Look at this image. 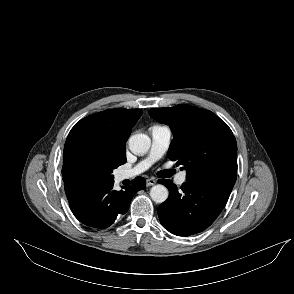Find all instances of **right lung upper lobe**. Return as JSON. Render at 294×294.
I'll return each instance as SVG.
<instances>
[{
    "mask_svg": "<svg viewBox=\"0 0 294 294\" xmlns=\"http://www.w3.org/2000/svg\"><path fill=\"white\" fill-rule=\"evenodd\" d=\"M142 115L140 109H110L89 115L75 124L64 146L63 164L81 150L104 151L113 154L122 164L126 162L125 143L132 127ZM64 186L71 184L63 178Z\"/></svg>",
    "mask_w": 294,
    "mask_h": 294,
    "instance_id": "cb5924a9",
    "label": "right lung upper lobe"
}]
</instances>
